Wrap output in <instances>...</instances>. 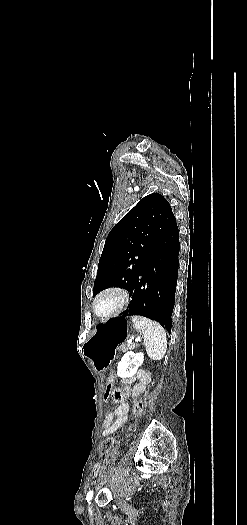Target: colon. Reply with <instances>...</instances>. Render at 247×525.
<instances>
[{
    "instance_id": "1",
    "label": "colon",
    "mask_w": 247,
    "mask_h": 525,
    "mask_svg": "<svg viewBox=\"0 0 247 525\" xmlns=\"http://www.w3.org/2000/svg\"><path fill=\"white\" fill-rule=\"evenodd\" d=\"M116 376H117V373L115 371H112L110 373V375L106 376V378H105V383H104V387H103L104 391H103V395H102V398L105 400V403H108L107 399L112 396V392L114 390L113 384H115L116 381H117ZM142 405H143L142 402H139L138 404L135 405V407H134V415L135 416L140 414L141 409H142ZM116 443H117V440L114 437L106 438V439H104L101 442V444H100V451H101L102 457L104 459L108 458V455H109L110 451L116 445Z\"/></svg>"
}]
</instances>
